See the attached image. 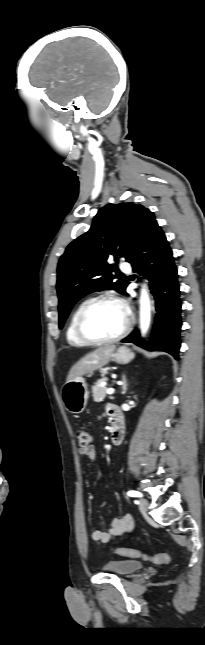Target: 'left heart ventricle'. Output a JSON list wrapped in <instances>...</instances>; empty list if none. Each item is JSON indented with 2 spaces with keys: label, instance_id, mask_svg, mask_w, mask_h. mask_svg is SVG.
<instances>
[{
  "label": "left heart ventricle",
  "instance_id": "left-heart-ventricle-1",
  "mask_svg": "<svg viewBox=\"0 0 205 645\" xmlns=\"http://www.w3.org/2000/svg\"><path fill=\"white\" fill-rule=\"evenodd\" d=\"M125 323L123 308L114 302L93 307L86 318V330L95 338H108L119 333Z\"/></svg>",
  "mask_w": 205,
  "mask_h": 645
}]
</instances>
